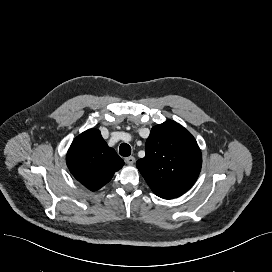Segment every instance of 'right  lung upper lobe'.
Wrapping results in <instances>:
<instances>
[{"label":"right lung upper lobe","mask_w":272,"mask_h":272,"mask_svg":"<svg viewBox=\"0 0 272 272\" xmlns=\"http://www.w3.org/2000/svg\"><path fill=\"white\" fill-rule=\"evenodd\" d=\"M66 163L72 175L91 191L107 184L124 165L97 129H89L75 138L66 155Z\"/></svg>","instance_id":"obj_1"}]
</instances>
